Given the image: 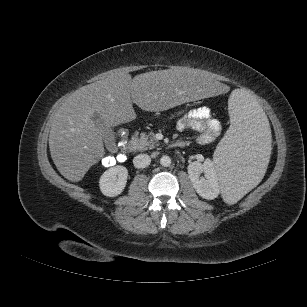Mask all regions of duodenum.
Here are the masks:
<instances>
[{
	"label": "duodenum",
	"instance_id": "1",
	"mask_svg": "<svg viewBox=\"0 0 307 307\" xmlns=\"http://www.w3.org/2000/svg\"><path fill=\"white\" fill-rule=\"evenodd\" d=\"M129 146H128V149H129V152L128 153H132V152H135L137 147H138V144L135 140H129ZM173 146L176 147V148H182L185 146V142L183 141H175L173 142Z\"/></svg>",
	"mask_w": 307,
	"mask_h": 307
}]
</instances>
